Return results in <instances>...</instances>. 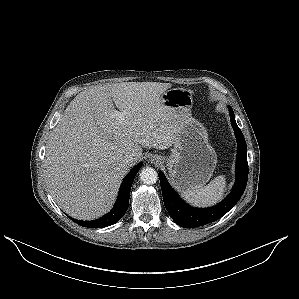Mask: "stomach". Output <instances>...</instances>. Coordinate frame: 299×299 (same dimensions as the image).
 Here are the masks:
<instances>
[{
    "instance_id": "obj_1",
    "label": "stomach",
    "mask_w": 299,
    "mask_h": 299,
    "mask_svg": "<svg viewBox=\"0 0 299 299\" xmlns=\"http://www.w3.org/2000/svg\"><path fill=\"white\" fill-rule=\"evenodd\" d=\"M161 98L179 120L177 140L166 159L171 182L179 191L200 188L213 175L217 155L209 144L206 128L191 115L192 91L172 88Z\"/></svg>"
}]
</instances>
